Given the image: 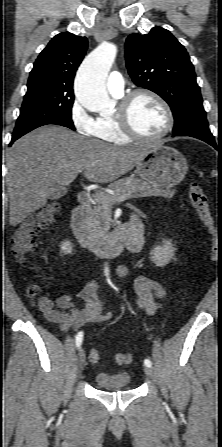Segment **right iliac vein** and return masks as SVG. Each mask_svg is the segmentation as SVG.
Returning a JSON list of instances; mask_svg holds the SVG:
<instances>
[{"label":"right iliac vein","instance_id":"1","mask_svg":"<svg viewBox=\"0 0 222 447\" xmlns=\"http://www.w3.org/2000/svg\"><path fill=\"white\" fill-rule=\"evenodd\" d=\"M86 365V354L83 348L80 349L78 354V361H77V373L78 375L82 373L84 370V367Z\"/></svg>","mask_w":222,"mask_h":447}]
</instances>
